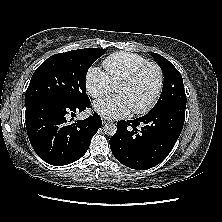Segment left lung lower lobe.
Returning <instances> with one entry per match:
<instances>
[{
	"mask_svg": "<svg viewBox=\"0 0 222 222\" xmlns=\"http://www.w3.org/2000/svg\"><path fill=\"white\" fill-rule=\"evenodd\" d=\"M185 109L186 103L171 102L140 118L119 121L117 132L110 139L115 158L137 170L158 165L171 152L182 131Z\"/></svg>",
	"mask_w": 222,
	"mask_h": 222,
	"instance_id": "1",
	"label": "left lung lower lobe"
}]
</instances>
